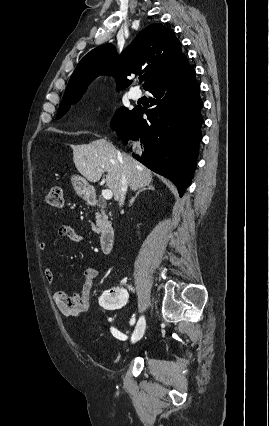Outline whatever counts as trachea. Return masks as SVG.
<instances>
[{
	"label": "trachea",
	"instance_id": "trachea-1",
	"mask_svg": "<svg viewBox=\"0 0 269 426\" xmlns=\"http://www.w3.org/2000/svg\"><path fill=\"white\" fill-rule=\"evenodd\" d=\"M144 80H145V77H143V76H142V77H139V81H140V82H143Z\"/></svg>",
	"mask_w": 269,
	"mask_h": 426
}]
</instances>
